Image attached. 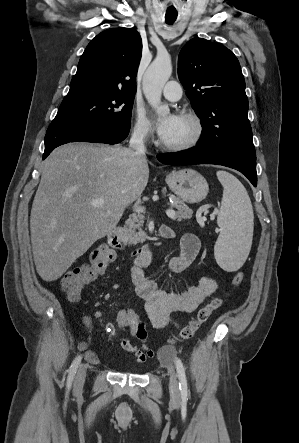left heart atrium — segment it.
Wrapping results in <instances>:
<instances>
[{
	"label": "left heart atrium",
	"instance_id": "obj_1",
	"mask_svg": "<svg viewBox=\"0 0 299 443\" xmlns=\"http://www.w3.org/2000/svg\"><path fill=\"white\" fill-rule=\"evenodd\" d=\"M179 116L169 114L165 117L158 118L155 121V128L161 139L166 138L176 127Z\"/></svg>",
	"mask_w": 299,
	"mask_h": 443
}]
</instances>
